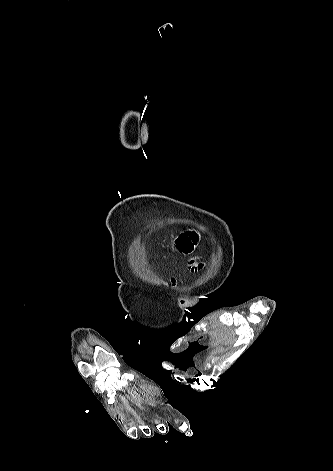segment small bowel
Instances as JSON below:
<instances>
[{
  "label": "small bowel",
  "instance_id": "small-bowel-1",
  "mask_svg": "<svg viewBox=\"0 0 333 471\" xmlns=\"http://www.w3.org/2000/svg\"><path fill=\"white\" fill-rule=\"evenodd\" d=\"M196 242V239L193 235H189V234H184L182 235L179 240H178V247L179 249L185 253V254H189L193 247H194V244ZM198 266L197 262L195 260H192L190 262V267L194 270L196 269ZM178 282V278L176 277H171L167 282L166 284L170 285V286H174L176 285V283Z\"/></svg>",
  "mask_w": 333,
  "mask_h": 471
}]
</instances>
